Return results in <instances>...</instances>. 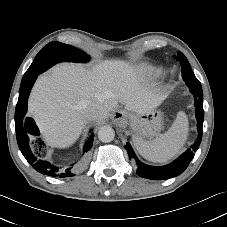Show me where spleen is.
I'll return each instance as SVG.
<instances>
[{"label":"spleen","instance_id":"3e777b00","mask_svg":"<svg viewBox=\"0 0 227 227\" xmlns=\"http://www.w3.org/2000/svg\"><path fill=\"white\" fill-rule=\"evenodd\" d=\"M189 123L184 112H178L171 127L163 135L146 141L139 137L133 138V143L137 151L145 159L164 163L178 154L187 140Z\"/></svg>","mask_w":227,"mask_h":227}]
</instances>
